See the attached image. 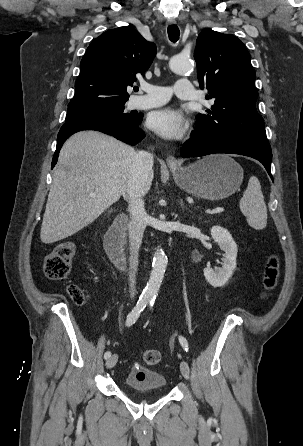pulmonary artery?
<instances>
[{"instance_id": "1", "label": "pulmonary artery", "mask_w": 303, "mask_h": 446, "mask_svg": "<svg viewBox=\"0 0 303 446\" xmlns=\"http://www.w3.org/2000/svg\"><path fill=\"white\" fill-rule=\"evenodd\" d=\"M142 90L145 92V95L135 96L130 102L132 108L146 109L161 106L170 99L173 91L180 99H195L194 87L187 79L178 80L174 85V89L156 85H143Z\"/></svg>"}]
</instances>
